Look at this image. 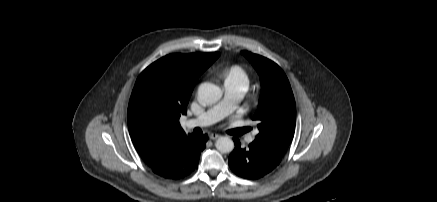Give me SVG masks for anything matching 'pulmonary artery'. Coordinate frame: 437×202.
Masks as SVG:
<instances>
[{
  "label": "pulmonary artery",
  "instance_id": "1",
  "mask_svg": "<svg viewBox=\"0 0 437 202\" xmlns=\"http://www.w3.org/2000/svg\"><path fill=\"white\" fill-rule=\"evenodd\" d=\"M247 90V84L236 81H225L223 99L196 118L187 121L188 127L208 126L218 122L229 115L237 106ZM253 136L246 138L247 142L253 141Z\"/></svg>",
  "mask_w": 437,
  "mask_h": 202
}]
</instances>
